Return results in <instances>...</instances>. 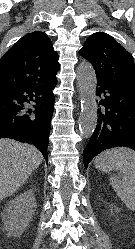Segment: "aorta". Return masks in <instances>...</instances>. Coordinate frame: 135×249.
Returning <instances> with one entry per match:
<instances>
[{"label": "aorta", "mask_w": 135, "mask_h": 249, "mask_svg": "<svg viewBox=\"0 0 135 249\" xmlns=\"http://www.w3.org/2000/svg\"><path fill=\"white\" fill-rule=\"evenodd\" d=\"M77 80L81 98L79 129L85 138H90L97 125L96 75L92 65L83 62L77 71Z\"/></svg>", "instance_id": "obj_1"}]
</instances>
